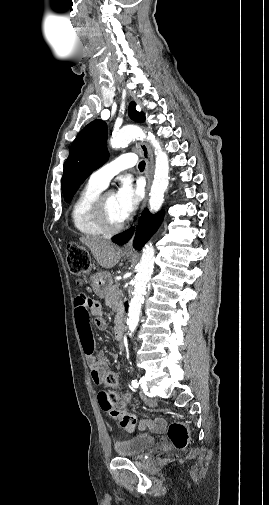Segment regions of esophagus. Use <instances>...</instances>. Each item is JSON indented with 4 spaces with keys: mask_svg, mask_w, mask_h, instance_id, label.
Masks as SVG:
<instances>
[{
    "mask_svg": "<svg viewBox=\"0 0 269 505\" xmlns=\"http://www.w3.org/2000/svg\"><path fill=\"white\" fill-rule=\"evenodd\" d=\"M137 147L139 148V152L141 153L142 157L144 158V160L146 162L145 173H146L148 182H147V187H146V197L143 202V207H144L146 204L147 193L149 191L151 179L153 176L154 158H153V153H152L151 148L145 142H138ZM133 239H134V236L123 246L124 252H126V253H134L135 252V249L133 247Z\"/></svg>",
    "mask_w": 269,
    "mask_h": 505,
    "instance_id": "esophagus-1",
    "label": "esophagus"
}]
</instances>
